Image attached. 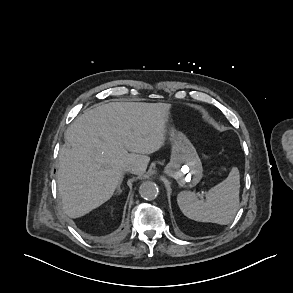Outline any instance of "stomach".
I'll return each instance as SVG.
<instances>
[{
	"label": "stomach",
	"instance_id": "stomach-1",
	"mask_svg": "<svg viewBox=\"0 0 293 293\" xmlns=\"http://www.w3.org/2000/svg\"><path fill=\"white\" fill-rule=\"evenodd\" d=\"M169 135L172 153L165 174L173 177L180 187L196 186L202 178L203 168L195 147L186 135L175 128H170Z\"/></svg>",
	"mask_w": 293,
	"mask_h": 293
}]
</instances>
